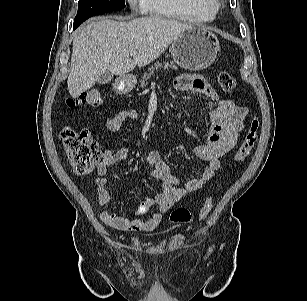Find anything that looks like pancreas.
<instances>
[{
    "label": "pancreas",
    "mask_w": 307,
    "mask_h": 301,
    "mask_svg": "<svg viewBox=\"0 0 307 301\" xmlns=\"http://www.w3.org/2000/svg\"><path fill=\"white\" fill-rule=\"evenodd\" d=\"M162 67H164L165 69L177 68V66L174 65L172 62L171 63L164 62L163 64L160 62H156L153 67L148 69V72L144 73L143 79L140 81L141 86L145 87L148 84V80H150L151 76L154 75L156 71H159V69H161Z\"/></svg>",
    "instance_id": "1"
}]
</instances>
